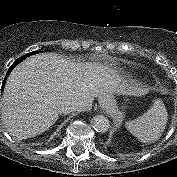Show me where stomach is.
Segmentation results:
<instances>
[{
  "label": "stomach",
  "instance_id": "stomach-1",
  "mask_svg": "<svg viewBox=\"0 0 177 177\" xmlns=\"http://www.w3.org/2000/svg\"><path fill=\"white\" fill-rule=\"evenodd\" d=\"M100 106L109 113H113L116 106V99L114 95H108L99 100Z\"/></svg>",
  "mask_w": 177,
  "mask_h": 177
}]
</instances>
